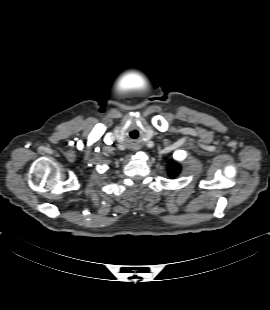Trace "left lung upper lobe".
<instances>
[{"instance_id":"1","label":"left lung upper lobe","mask_w":270,"mask_h":310,"mask_svg":"<svg viewBox=\"0 0 270 310\" xmlns=\"http://www.w3.org/2000/svg\"><path fill=\"white\" fill-rule=\"evenodd\" d=\"M180 172V166L179 164L175 163L174 161H171L169 164L168 174L170 177H175Z\"/></svg>"}]
</instances>
